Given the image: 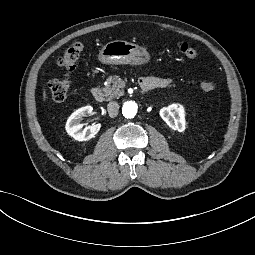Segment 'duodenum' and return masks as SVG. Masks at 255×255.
<instances>
[{
    "label": "duodenum",
    "mask_w": 255,
    "mask_h": 255,
    "mask_svg": "<svg viewBox=\"0 0 255 255\" xmlns=\"http://www.w3.org/2000/svg\"><path fill=\"white\" fill-rule=\"evenodd\" d=\"M139 84H140V87L145 91L151 89V87L153 86V84L146 79L140 80ZM90 92L95 100L101 101L103 99V91L100 86L93 87Z\"/></svg>",
    "instance_id": "1"
}]
</instances>
